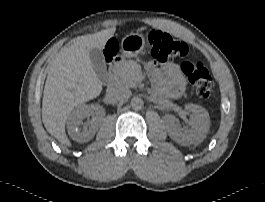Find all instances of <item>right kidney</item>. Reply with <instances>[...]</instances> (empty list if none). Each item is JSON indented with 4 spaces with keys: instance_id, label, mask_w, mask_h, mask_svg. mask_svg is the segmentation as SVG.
<instances>
[{
    "instance_id": "1",
    "label": "right kidney",
    "mask_w": 265,
    "mask_h": 202,
    "mask_svg": "<svg viewBox=\"0 0 265 202\" xmlns=\"http://www.w3.org/2000/svg\"><path fill=\"white\" fill-rule=\"evenodd\" d=\"M104 116L105 110L102 106L81 104L68 117V134L76 142H88L94 137ZM89 117H92L91 121L83 125V120ZM82 125L83 128H81Z\"/></svg>"
}]
</instances>
